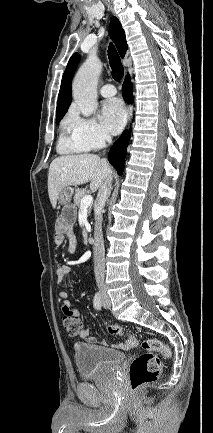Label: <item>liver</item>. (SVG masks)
Instances as JSON below:
<instances>
[{
  "label": "liver",
  "mask_w": 213,
  "mask_h": 433,
  "mask_svg": "<svg viewBox=\"0 0 213 433\" xmlns=\"http://www.w3.org/2000/svg\"><path fill=\"white\" fill-rule=\"evenodd\" d=\"M112 174L106 159L95 154L64 155L52 161L48 173V194L53 207L60 191L90 181L92 192L97 191Z\"/></svg>",
  "instance_id": "6515ba94"
}]
</instances>
